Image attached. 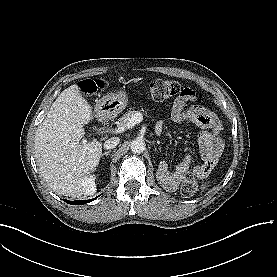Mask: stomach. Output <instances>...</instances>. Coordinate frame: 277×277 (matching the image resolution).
<instances>
[{"label":"stomach","instance_id":"1","mask_svg":"<svg viewBox=\"0 0 277 277\" xmlns=\"http://www.w3.org/2000/svg\"><path fill=\"white\" fill-rule=\"evenodd\" d=\"M128 104V96L124 90L104 96L101 100V108L110 115L122 112Z\"/></svg>","mask_w":277,"mask_h":277}]
</instances>
